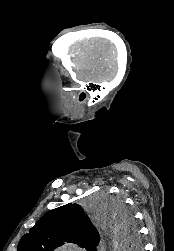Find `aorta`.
<instances>
[{"label":"aorta","mask_w":174,"mask_h":251,"mask_svg":"<svg viewBox=\"0 0 174 251\" xmlns=\"http://www.w3.org/2000/svg\"><path fill=\"white\" fill-rule=\"evenodd\" d=\"M111 232H112L114 238H116V236H117V233H116V232H117V231H116V229H115L114 227L112 228Z\"/></svg>","instance_id":"obj_1"}]
</instances>
